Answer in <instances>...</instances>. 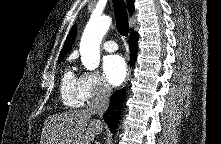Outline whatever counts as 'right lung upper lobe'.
I'll return each mask as SVG.
<instances>
[{"label":"right lung upper lobe","instance_id":"right-lung-upper-lobe-1","mask_svg":"<svg viewBox=\"0 0 221 144\" xmlns=\"http://www.w3.org/2000/svg\"><path fill=\"white\" fill-rule=\"evenodd\" d=\"M127 6H128V10L130 14H133L134 12V0H127ZM76 34H77V28L76 25L73 26V28L71 29V31L69 32L67 39L64 43V46L60 52V56L58 61H62V59L64 58V56L67 54V52L70 50L71 46L74 43V40L76 39Z\"/></svg>","mask_w":221,"mask_h":144}]
</instances>
